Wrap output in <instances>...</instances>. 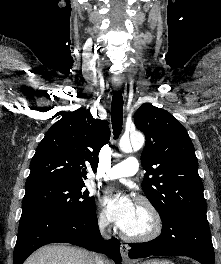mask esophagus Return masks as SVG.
<instances>
[{
	"label": "esophagus",
	"instance_id": "1",
	"mask_svg": "<svg viewBox=\"0 0 221 264\" xmlns=\"http://www.w3.org/2000/svg\"><path fill=\"white\" fill-rule=\"evenodd\" d=\"M113 89L115 91H120L121 86L119 84H116L113 86ZM120 252H121V256H122L123 261L125 263H128L129 262V258H128L129 246L127 244L121 243Z\"/></svg>",
	"mask_w": 221,
	"mask_h": 264
}]
</instances>
